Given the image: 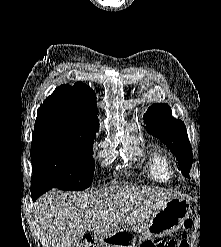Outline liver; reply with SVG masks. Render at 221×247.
<instances>
[{
	"mask_svg": "<svg viewBox=\"0 0 221 247\" xmlns=\"http://www.w3.org/2000/svg\"><path fill=\"white\" fill-rule=\"evenodd\" d=\"M175 197L139 186H113L84 195L51 190L34 203V215L49 247H79L87 230L109 232L147 221Z\"/></svg>",
	"mask_w": 221,
	"mask_h": 247,
	"instance_id": "1",
	"label": "liver"
}]
</instances>
